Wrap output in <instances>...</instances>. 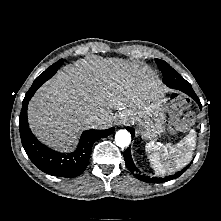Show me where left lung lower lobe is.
I'll return each instance as SVG.
<instances>
[{"mask_svg":"<svg viewBox=\"0 0 221 221\" xmlns=\"http://www.w3.org/2000/svg\"><path fill=\"white\" fill-rule=\"evenodd\" d=\"M166 85L169 88L182 91L185 94L189 95L191 98H193L198 103L199 107L202 108L199 98L197 97V95L193 91L190 83H188L185 79L181 78L179 81H177L175 83H169ZM127 130L132 133V136H134V130L132 128L127 127ZM124 159H125L126 165H127L128 169L130 170V172L134 173L136 178H138L139 180H142L147 183H159V182H166V181L175 179V178L179 177L184 171H186V169L190 166V165H188L182 171L177 172L175 175H172L169 177L151 178L150 176L140 175L138 169L136 168L135 164L133 163V160L131 157V152H130V147H128V149L124 152Z\"/></svg>","mask_w":221,"mask_h":221,"instance_id":"0a47b994","label":"left lung lower lobe"}]
</instances>
